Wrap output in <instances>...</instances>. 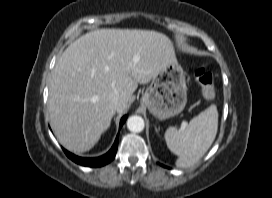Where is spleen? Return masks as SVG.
I'll return each instance as SVG.
<instances>
[{
	"instance_id": "spleen-1",
	"label": "spleen",
	"mask_w": 272,
	"mask_h": 198,
	"mask_svg": "<svg viewBox=\"0 0 272 198\" xmlns=\"http://www.w3.org/2000/svg\"><path fill=\"white\" fill-rule=\"evenodd\" d=\"M218 130V111L212 104L194 117L185 130L170 127L165 132L167 147L178 156L176 166L185 168L198 162L212 145Z\"/></svg>"
}]
</instances>
